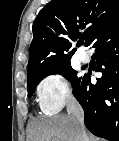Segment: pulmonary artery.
<instances>
[{
	"label": "pulmonary artery",
	"mask_w": 119,
	"mask_h": 141,
	"mask_svg": "<svg viewBox=\"0 0 119 141\" xmlns=\"http://www.w3.org/2000/svg\"><path fill=\"white\" fill-rule=\"evenodd\" d=\"M79 59L82 63H88L90 61V56L86 52H82L79 55Z\"/></svg>",
	"instance_id": "pulmonary-artery-1"
}]
</instances>
